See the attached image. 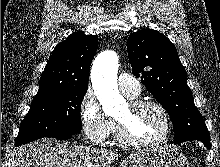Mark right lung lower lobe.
Returning a JSON list of instances; mask_svg holds the SVG:
<instances>
[{
    "label": "right lung lower lobe",
    "instance_id": "obj_1",
    "mask_svg": "<svg viewBox=\"0 0 220 167\" xmlns=\"http://www.w3.org/2000/svg\"><path fill=\"white\" fill-rule=\"evenodd\" d=\"M72 137V135H62V136H58V137H55L57 139H70Z\"/></svg>",
    "mask_w": 220,
    "mask_h": 167
}]
</instances>
